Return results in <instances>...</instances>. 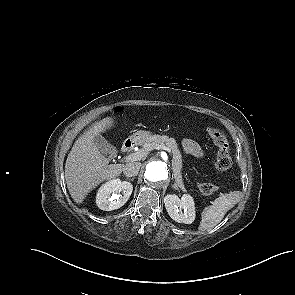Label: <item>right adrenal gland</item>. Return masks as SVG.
Segmentation results:
<instances>
[{
  "instance_id": "1",
  "label": "right adrenal gland",
  "mask_w": 295,
  "mask_h": 295,
  "mask_svg": "<svg viewBox=\"0 0 295 295\" xmlns=\"http://www.w3.org/2000/svg\"><path fill=\"white\" fill-rule=\"evenodd\" d=\"M135 178H127V180L134 181Z\"/></svg>"
}]
</instances>
